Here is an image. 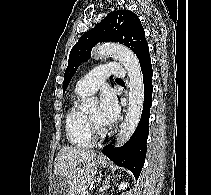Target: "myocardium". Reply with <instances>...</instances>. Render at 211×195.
Returning a JSON list of instances; mask_svg holds the SVG:
<instances>
[{
	"label": "myocardium",
	"instance_id": "1",
	"mask_svg": "<svg viewBox=\"0 0 211 195\" xmlns=\"http://www.w3.org/2000/svg\"><path fill=\"white\" fill-rule=\"evenodd\" d=\"M87 121L91 135L96 139H103L106 137L108 131L105 128H100L88 115Z\"/></svg>",
	"mask_w": 211,
	"mask_h": 195
}]
</instances>
